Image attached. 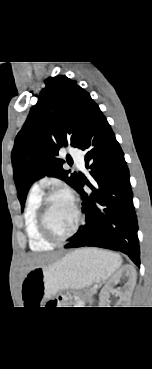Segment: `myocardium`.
<instances>
[{"label":"myocardium","instance_id":"obj_1","mask_svg":"<svg viewBox=\"0 0 152 369\" xmlns=\"http://www.w3.org/2000/svg\"><path fill=\"white\" fill-rule=\"evenodd\" d=\"M58 195H65L67 197L70 198V200L72 201L75 211H76V215H77V220H76V224L73 227V229L66 235L64 236H58L56 235L50 228L49 223H48V207H49V203L51 201V199L55 196ZM84 221V215L81 211V208L78 204L77 199L75 198V196L66 190H53L48 192L47 194H45L40 202V206H39V212H38V226L40 229V232L42 233L43 237L51 242V243H62L68 239H70L71 237H73L79 230V228L81 227L82 223Z\"/></svg>","mask_w":152,"mask_h":369}]
</instances>
